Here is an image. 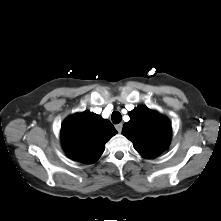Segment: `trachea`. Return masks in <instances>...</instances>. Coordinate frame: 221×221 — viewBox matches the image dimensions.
<instances>
[{
    "label": "trachea",
    "mask_w": 221,
    "mask_h": 221,
    "mask_svg": "<svg viewBox=\"0 0 221 221\" xmlns=\"http://www.w3.org/2000/svg\"><path fill=\"white\" fill-rule=\"evenodd\" d=\"M112 122L118 124L122 120V115L118 111H114L111 115Z\"/></svg>",
    "instance_id": "trachea-1"
}]
</instances>
